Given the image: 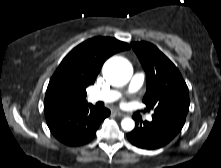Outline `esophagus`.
Instances as JSON below:
<instances>
[{
	"label": "esophagus",
	"instance_id": "esophagus-1",
	"mask_svg": "<svg viewBox=\"0 0 221 168\" xmlns=\"http://www.w3.org/2000/svg\"><path fill=\"white\" fill-rule=\"evenodd\" d=\"M113 113L117 117H125V114L119 110H114Z\"/></svg>",
	"mask_w": 221,
	"mask_h": 168
}]
</instances>
